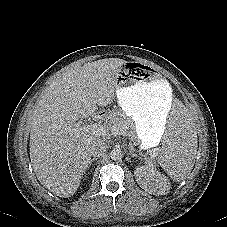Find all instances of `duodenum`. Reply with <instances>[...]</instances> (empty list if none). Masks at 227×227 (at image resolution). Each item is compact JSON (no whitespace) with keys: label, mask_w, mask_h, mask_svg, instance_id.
Wrapping results in <instances>:
<instances>
[{"label":"duodenum","mask_w":227,"mask_h":227,"mask_svg":"<svg viewBox=\"0 0 227 227\" xmlns=\"http://www.w3.org/2000/svg\"><path fill=\"white\" fill-rule=\"evenodd\" d=\"M102 118V115L100 114V113H95L94 115H93V120H100Z\"/></svg>","instance_id":"obj_1"}]
</instances>
